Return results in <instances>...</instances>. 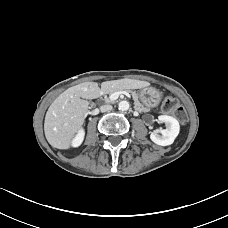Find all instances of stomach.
<instances>
[{
  "mask_svg": "<svg viewBox=\"0 0 228 228\" xmlns=\"http://www.w3.org/2000/svg\"><path fill=\"white\" fill-rule=\"evenodd\" d=\"M162 94L153 87H143L139 90V99L144 106L149 108L158 105L161 101Z\"/></svg>",
  "mask_w": 228,
  "mask_h": 228,
  "instance_id": "stomach-1",
  "label": "stomach"
}]
</instances>
